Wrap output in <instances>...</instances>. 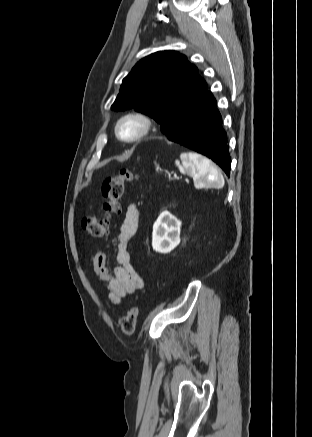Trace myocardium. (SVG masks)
I'll return each instance as SVG.
<instances>
[{"label": "myocardium", "mask_w": 312, "mask_h": 437, "mask_svg": "<svg viewBox=\"0 0 312 437\" xmlns=\"http://www.w3.org/2000/svg\"><path fill=\"white\" fill-rule=\"evenodd\" d=\"M130 119L139 121L141 124V129L136 135L132 137H124L121 133V126L125 121ZM152 127H153L152 119L147 114L140 111H131L125 113L118 119L115 126V133L119 140L126 143H134L145 138L151 132Z\"/></svg>", "instance_id": "1"}]
</instances>
